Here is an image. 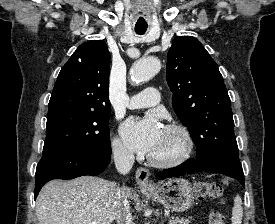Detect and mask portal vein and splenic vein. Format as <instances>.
<instances>
[{"label": "portal vein and splenic vein", "instance_id": "18ae733b", "mask_svg": "<svg viewBox=\"0 0 275 224\" xmlns=\"http://www.w3.org/2000/svg\"><path fill=\"white\" fill-rule=\"evenodd\" d=\"M91 224H97L96 222H93V223H91Z\"/></svg>", "mask_w": 275, "mask_h": 224}]
</instances>
